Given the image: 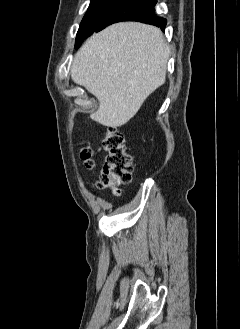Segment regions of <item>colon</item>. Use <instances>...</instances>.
Listing matches in <instances>:
<instances>
[{
	"label": "colon",
	"instance_id": "5ec220e1",
	"mask_svg": "<svg viewBox=\"0 0 240 329\" xmlns=\"http://www.w3.org/2000/svg\"><path fill=\"white\" fill-rule=\"evenodd\" d=\"M102 148L107 152L106 163L99 178L101 188L119 192V187L132 180V156L124 141L123 134L117 129H109L102 141ZM95 149L85 148L81 152L82 159L88 168L95 165Z\"/></svg>",
	"mask_w": 240,
	"mask_h": 329
}]
</instances>
